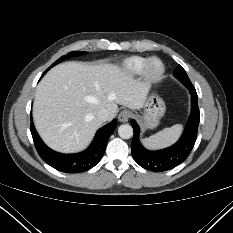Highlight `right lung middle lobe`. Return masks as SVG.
<instances>
[{
    "instance_id": "dd1d6c3e",
    "label": "right lung middle lobe",
    "mask_w": 233,
    "mask_h": 233,
    "mask_svg": "<svg viewBox=\"0 0 233 233\" xmlns=\"http://www.w3.org/2000/svg\"><path fill=\"white\" fill-rule=\"evenodd\" d=\"M85 52H82V51H74V52H71L68 54V56H62L60 59H58L56 62H54L51 67H53L54 65L58 64L59 62H61L62 60H64L65 58H68L70 56H78V55H82L84 54ZM50 69V68H49ZM48 69V70H49Z\"/></svg>"
}]
</instances>
